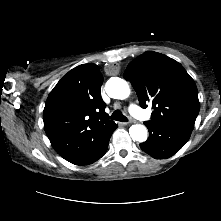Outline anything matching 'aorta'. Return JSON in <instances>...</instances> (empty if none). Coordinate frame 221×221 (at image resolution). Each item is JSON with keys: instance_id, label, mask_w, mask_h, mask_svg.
<instances>
[{"instance_id": "762f6f07", "label": "aorta", "mask_w": 221, "mask_h": 221, "mask_svg": "<svg viewBox=\"0 0 221 221\" xmlns=\"http://www.w3.org/2000/svg\"><path fill=\"white\" fill-rule=\"evenodd\" d=\"M106 92L111 98L123 100L129 97L130 87L124 79L112 77L106 83ZM129 134L138 142L146 141L148 136L147 128L141 124L132 125Z\"/></svg>"}]
</instances>
